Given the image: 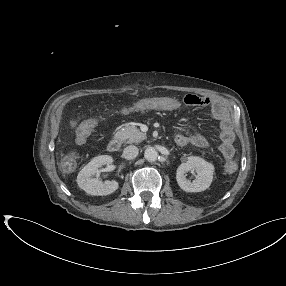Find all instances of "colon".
<instances>
[{"mask_svg":"<svg viewBox=\"0 0 286 286\" xmlns=\"http://www.w3.org/2000/svg\"><path fill=\"white\" fill-rule=\"evenodd\" d=\"M91 132V127L88 124H82L77 133V142L82 143L86 140L88 135ZM63 163L69 167L72 168L76 164V156L74 154H68L63 158ZM236 169V164L234 162H228L226 164V170L228 172H233Z\"/></svg>","mask_w":286,"mask_h":286,"instance_id":"colon-1","label":"colon"}]
</instances>
